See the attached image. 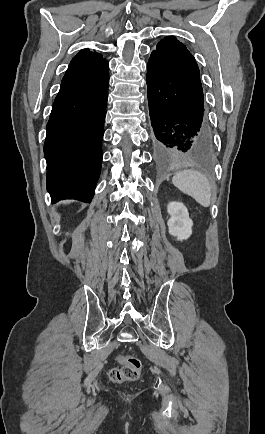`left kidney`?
I'll return each mask as SVG.
<instances>
[{"instance_id":"1","label":"left kidney","mask_w":265,"mask_h":434,"mask_svg":"<svg viewBox=\"0 0 265 434\" xmlns=\"http://www.w3.org/2000/svg\"><path fill=\"white\" fill-rule=\"evenodd\" d=\"M167 212L171 216L167 222L169 234L175 236L179 242L188 240L192 234L193 222L189 218L187 208L181 202H170Z\"/></svg>"}]
</instances>
